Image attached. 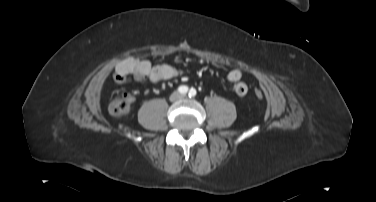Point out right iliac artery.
Wrapping results in <instances>:
<instances>
[{
	"mask_svg": "<svg viewBox=\"0 0 376 202\" xmlns=\"http://www.w3.org/2000/svg\"><path fill=\"white\" fill-rule=\"evenodd\" d=\"M178 91L179 93L181 94H186L188 92V87L185 86V85H181L179 88H178Z\"/></svg>",
	"mask_w": 376,
	"mask_h": 202,
	"instance_id": "right-iliac-artery-1",
	"label": "right iliac artery"
}]
</instances>
